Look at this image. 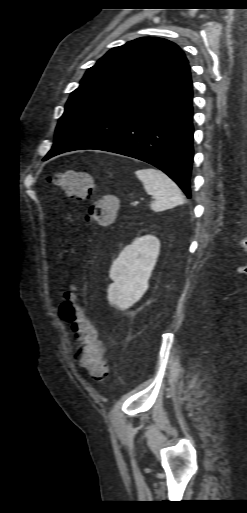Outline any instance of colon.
I'll use <instances>...</instances> for the list:
<instances>
[{
	"label": "colon",
	"instance_id": "colon-1",
	"mask_svg": "<svg viewBox=\"0 0 247 513\" xmlns=\"http://www.w3.org/2000/svg\"><path fill=\"white\" fill-rule=\"evenodd\" d=\"M62 188L65 194L77 200L89 198L94 190L91 174L78 170L58 172L50 178ZM118 204L111 195L104 196L98 205H91L86 212V220L99 226L112 224L116 219ZM62 319L70 325L77 342L72 349V356L77 360V368L86 377L100 382L108 374L104 360L105 348L98 340V332L85 308L77 300L73 287L64 291L63 300L59 306Z\"/></svg>",
	"mask_w": 247,
	"mask_h": 513
}]
</instances>
